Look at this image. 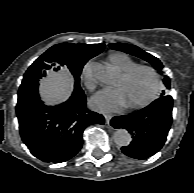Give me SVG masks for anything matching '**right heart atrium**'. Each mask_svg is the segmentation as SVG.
<instances>
[{
  "label": "right heart atrium",
  "instance_id": "d8ad5b80",
  "mask_svg": "<svg viewBox=\"0 0 194 193\" xmlns=\"http://www.w3.org/2000/svg\"><path fill=\"white\" fill-rule=\"evenodd\" d=\"M82 79L84 82V85L91 91H93L96 88V80L92 76L90 72V64L87 63L84 65L82 69Z\"/></svg>",
  "mask_w": 194,
  "mask_h": 193
}]
</instances>
